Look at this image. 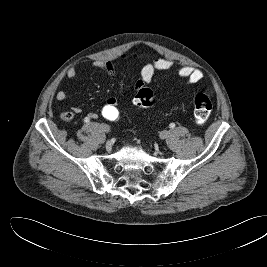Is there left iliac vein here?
<instances>
[{"label":"left iliac vein","mask_w":267,"mask_h":267,"mask_svg":"<svg viewBox=\"0 0 267 267\" xmlns=\"http://www.w3.org/2000/svg\"><path fill=\"white\" fill-rule=\"evenodd\" d=\"M169 134L170 132L167 131V130H163L161 133H160V138L161 139H167L169 137Z\"/></svg>","instance_id":"1"}]
</instances>
